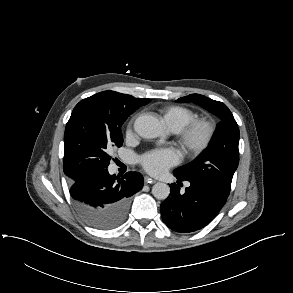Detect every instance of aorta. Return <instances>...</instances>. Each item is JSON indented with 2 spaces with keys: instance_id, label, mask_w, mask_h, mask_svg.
<instances>
[{
  "instance_id": "aorta-1",
  "label": "aorta",
  "mask_w": 293,
  "mask_h": 293,
  "mask_svg": "<svg viewBox=\"0 0 293 293\" xmlns=\"http://www.w3.org/2000/svg\"><path fill=\"white\" fill-rule=\"evenodd\" d=\"M134 129L139 136L145 139L163 136V128L160 121L156 117L147 114L137 117ZM152 194L156 199L165 200L170 194V187L165 183L158 182L153 185Z\"/></svg>"
}]
</instances>
